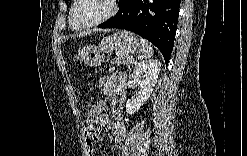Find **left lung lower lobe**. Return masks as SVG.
<instances>
[{
  "mask_svg": "<svg viewBox=\"0 0 247 156\" xmlns=\"http://www.w3.org/2000/svg\"><path fill=\"white\" fill-rule=\"evenodd\" d=\"M117 14L98 25L122 28L152 42L168 64L174 46L180 0H120Z\"/></svg>",
  "mask_w": 247,
  "mask_h": 156,
  "instance_id": "0a47b994",
  "label": "left lung lower lobe"
}]
</instances>
